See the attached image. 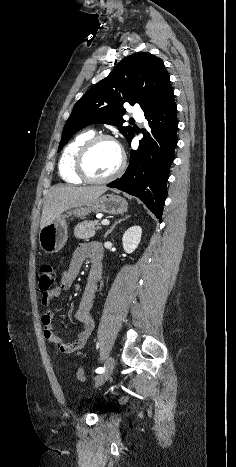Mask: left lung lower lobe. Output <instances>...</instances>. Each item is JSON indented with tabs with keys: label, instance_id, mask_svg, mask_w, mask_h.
Returning a JSON list of instances; mask_svg holds the SVG:
<instances>
[{
	"label": "left lung lower lobe",
	"instance_id": "obj_1",
	"mask_svg": "<svg viewBox=\"0 0 236 467\" xmlns=\"http://www.w3.org/2000/svg\"><path fill=\"white\" fill-rule=\"evenodd\" d=\"M176 112L173 89L169 87L145 112L151 131L143 133L138 150H131L129 166L124 175L107 185L138 197L160 222L167 195L169 167L177 145Z\"/></svg>",
	"mask_w": 236,
	"mask_h": 467
}]
</instances>
